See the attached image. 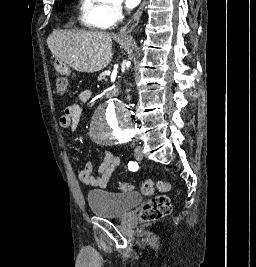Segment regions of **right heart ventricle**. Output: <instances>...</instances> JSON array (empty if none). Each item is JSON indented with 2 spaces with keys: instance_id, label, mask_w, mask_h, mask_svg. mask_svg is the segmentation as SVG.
I'll return each mask as SVG.
<instances>
[{
  "instance_id": "1",
  "label": "right heart ventricle",
  "mask_w": 256,
  "mask_h": 267,
  "mask_svg": "<svg viewBox=\"0 0 256 267\" xmlns=\"http://www.w3.org/2000/svg\"><path fill=\"white\" fill-rule=\"evenodd\" d=\"M109 4H110L109 0L87 1L85 5L88 9L89 17L85 21V24L89 28H99L97 22L100 16V9L103 7H109ZM65 28H71V27H65Z\"/></svg>"
}]
</instances>
